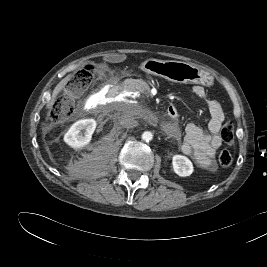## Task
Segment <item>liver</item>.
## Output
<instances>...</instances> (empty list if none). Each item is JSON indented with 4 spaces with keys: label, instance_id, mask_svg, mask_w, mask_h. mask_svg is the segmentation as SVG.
I'll return each mask as SVG.
<instances>
[{
    "label": "liver",
    "instance_id": "6515ba94",
    "mask_svg": "<svg viewBox=\"0 0 267 267\" xmlns=\"http://www.w3.org/2000/svg\"><path fill=\"white\" fill-rule=\"evenodd\" d=\"M73 75L69 74L67 75L65 78H63L54 88L53 92H52V98L51 101L47 104V108H50L51 106H53V104L56 101V98L58 96L59 93H61V91L65 88V86L67 85V83L72 79Z\"/></svg>",
    "mask_w": 267,
    "mask_h": 267
}]
</instances>
